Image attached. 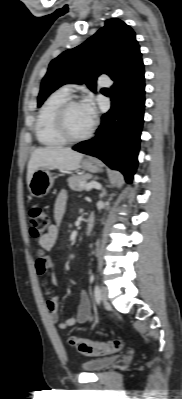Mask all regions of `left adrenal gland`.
<instances>
[{"label": "left adrenal gland", "mask_w": 182, "mask_h": 399, "mask_svg": "<svg viewBox=\"0 0 182 399\" xmlns=\"http://www.w3.org/2000/svg\"><path fill=\"white\" fill-rule=\"evenodd\" d=\"M105 195H106V191H105V190H103V192H102L101 196H102V197H104Z\"/></svg>", "instance_id": "left-adrenal-gland-1"}]
</instances>
